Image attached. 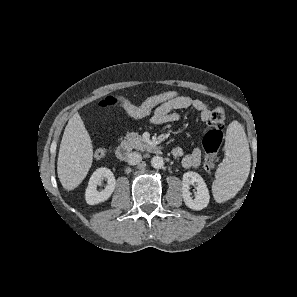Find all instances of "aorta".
<instances>
[{
    "mask_svg": "<svg viewBox=\"0 0 297 297\" xmlns=\"http://www.w3.org/2000/svg\"><path fill=\"white\" fill-rule=\"evenodd\" d=\"M151 165L155 169H161L164 166V160L161 156H154L151 159Z\"/></svg>",
    "mask_w": 297,
    "mask_h": 297,
    "instance_id": "obj_1",
    "label": "aorta"
}]
</instances>
